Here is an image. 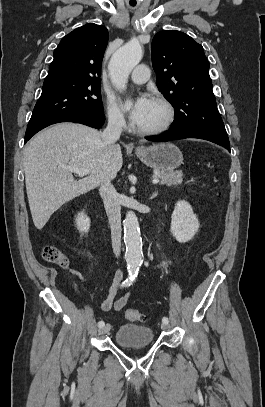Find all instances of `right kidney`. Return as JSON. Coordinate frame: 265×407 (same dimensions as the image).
<instances>
[{"label":"right kidney","mask_w":265,"mask_h":407,"mask_svg":"<svg viewBox=\"0 0 265 407\" xmlns=\"http://www.w3.org/2000/svg\"><path fill=\"white\" fill-rule=\"evenodd\" d=\"M77 229L81 233H87L90 229V219L84 212L78 213L75 219Z\"/></svg>","instance_id":"1"}]
</instances>
